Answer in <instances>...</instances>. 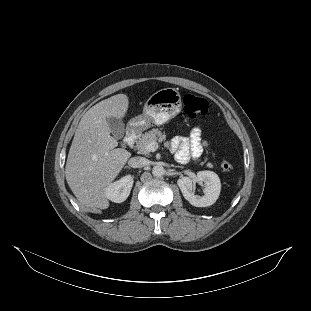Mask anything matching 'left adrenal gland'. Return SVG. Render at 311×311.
<instances>
[{"label":"left adrenal gland","mask_w":311,"mask_h":311,"mask_svg":"<svg viewBox=\"0 0 311 311\" xmlns=\"http://www.w3.org/2000/svg\"><path fill=\"white\" fill-rule=\"evenodd\" d=\"M176 168H181V169H183L184 167L183 166H175Z\"/></svg>","instance_id":"left-adrenal-gland-1"}]
</instances>
